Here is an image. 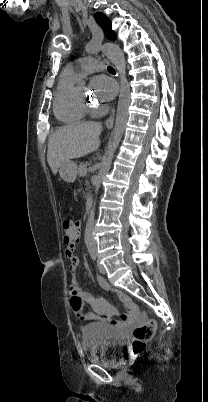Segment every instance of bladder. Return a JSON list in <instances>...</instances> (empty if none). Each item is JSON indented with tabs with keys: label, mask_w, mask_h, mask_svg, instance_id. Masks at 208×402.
<instances>
[{
	"label": "bladder",
	"mask_w": 208,
	"mask_h": 402,
	"mask_svg": "<svg viewBox=\"0 0 208 402\" xmlns=\"http://www.w3.org/2000/svg\"><path fill=\"white\" fill-rule=\"evenodd\" d=\"M83 347L88 359L98 364L116 363L113 359L119 353L124 339L110 324L93 323L82 327Z\"/></svg>",
	"instance_id": "obj_1"
}]
</instances>
